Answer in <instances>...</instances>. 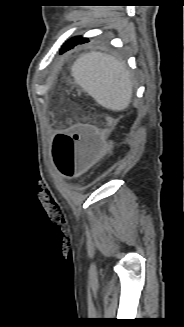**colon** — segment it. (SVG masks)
<instances>
[{
	"instance_id": "5ec220e1",
	"label": "colon",
	"mask_w": 184,
	"mask_h": 327,
	"mask_svg": "<svg viewBox=\"0 0 184 327\" xmlns=\"http://www.w3.org/2000/svg\"><path fill=\"white\" fill-rule=\"evenodd\" d=\"M111 150V145L96 128L81 123L55 137L52 155L58 170L74 178L108 157Z\"/></svg>"
}]
</instances>
